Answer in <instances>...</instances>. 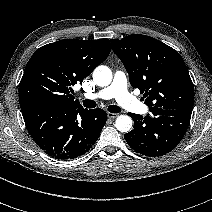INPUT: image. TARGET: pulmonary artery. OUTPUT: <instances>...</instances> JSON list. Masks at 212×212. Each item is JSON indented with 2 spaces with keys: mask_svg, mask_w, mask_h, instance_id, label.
I'll return each instance as SVG.
<instances>
[{
  "mask_svg": "<svg viewBox=\"0 0 212 212\" xmlns=\"http://www.w3.org/2000/svg\"><path fill=\"white\" fill-rule=\"evenodd\" d=\"M84 96L90 100L115 98L124 109L138 114H144L148 111L145 104L128 92L127 77L123 71L119 70L115 72L113 81L108 87L96 92L85 93Z\"/></svg>",
  "mask_w": 212,
  "mask_h": 212,
  "instance_id": "1",
  "label": "pulmonary artery"
}]
</instances>
